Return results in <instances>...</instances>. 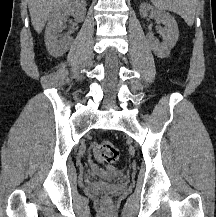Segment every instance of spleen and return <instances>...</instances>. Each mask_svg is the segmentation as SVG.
Returning <instances> with one entry per match:
<instances>
[{"mask_svg":"<svg viewBox=\"0 0 216 217\" xmlns=\"http://www.w3.org/2000/svg\"><path fill=\"white\" fill-rule=\"evenodd\" d=\"M151 2L159 9L178 14L187 25H193L198 0H151Z\"/></svg>","mask_w":216,"mask_h":217,"instance_id":"1","label":"spleen"}]
</instances>
